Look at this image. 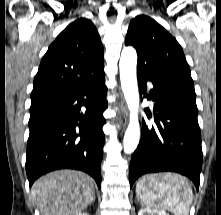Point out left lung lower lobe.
<instances>
[{
	"label": "left lung lower lobe",
	"instance_id": "0a47b994",
	"mask_svg": "<svg viewBox=\"0 0 221 215\" xmlns=\"http://www.w3.org/2000/svg\"><path fill=\"white\" fill-rule=\"evenodd\" d=\"M140 93L147 97L146 82L153 84L148 99L154 104V122L142 125L141 140L129 169L132 187L146 173L173 171L190 178L197 190L202 167L201 134L196 95L186 88L137 73ZM151 117L149 109H144Z\"/></svg>",
	"mask_w": 221,
	"mask_h": 215
}]
</instances>
